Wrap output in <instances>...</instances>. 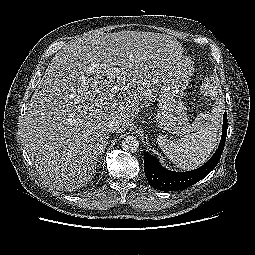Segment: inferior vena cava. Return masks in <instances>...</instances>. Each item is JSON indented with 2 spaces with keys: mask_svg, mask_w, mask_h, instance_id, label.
<instances>
[{
  "mask_svg": "<svg viewBox=\"0 0 255 255\" xmlns=\"http://www.w3.org/2000/svg\"><path fill=\"white\" fill-rule=\"evenodd\" d=\"M119 128V122L117 120H110L107 124V131L108 132H115Z\"/></svg>",
  "mask_w": 255,
  "mask_h": 255,
  "instance_id": "1",
  "label": "inferior vena cava"
}]
</instances>
